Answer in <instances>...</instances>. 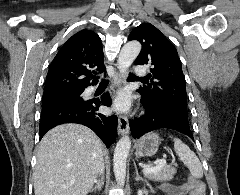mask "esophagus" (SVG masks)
<instances>
[{
  "label": "esophagus",
  "mask_w": 240,
  "mask_h": 195,
  "mask_svg": "<svg viewBox=\"0 0 240 195\" xmlns=\"http://www.w3.org/2000/svg\"><path fill=\"white\" fill-rule=\"evenodd\" d=\"M114 80L117 82L118 85H122L123 77L118 71L114 73ZM118 133L120 135L128 134L129 133V123L128 118L125 114L119 115L118 117Z\"/></svg>",
  "instance_id": "esophagus-1"
}]
</instances>
